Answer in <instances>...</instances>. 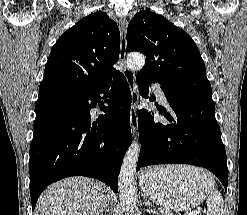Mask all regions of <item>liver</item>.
<instances>
[{
	"label": "liver",
	"mask_w": 247,
	"mask_h": 215,
	"mask_svg": "<svg viewBox=\"0 0 247 215\" xmlns=\"http://www.w3.org/2000/svg\"><path fill=\"white\" fill-rule=\"evenodd\" d=\"M106 204V191L101 182L71 177L43 192L34 215H103Z\"/></svg>",
	"instance_id": "6515ba94"
}]
</instances>
